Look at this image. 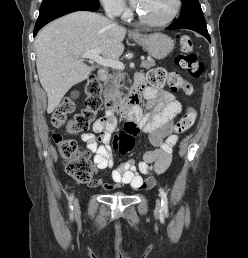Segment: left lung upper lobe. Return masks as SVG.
<instances>
[{
	"mask_svg": "<svg viewBox=\"0 0 248 258\" xmlns=\"http://www.w3.org/2000/svg\"><path fill=\"white\" fill-rule=\"evenodd\" d=\"M183 10L178 22H186L190 19L203 17V12L198 0H182Z\"/></svg>",
	"mask_w": 248,
	"mask_h": 258,
	"instance_id": "5c2ea615",
	"label": "left lung upper lobe"
}]
</instances>
